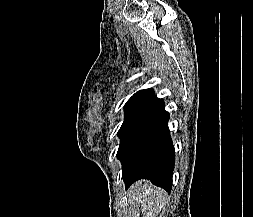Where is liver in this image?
I'll return each mask as SVG.
<instances>
[{
  "label": "liver",
  "instance_id": "obj_1",
  "mask_svg": "<svg viewBox=\"0 0 253 217\" xmlns=\"http://www.w3.org/2000/svg\"><path fill=\"white\" fill-rule=\"evenodd\" d=\"M166 192L151 185L148 181H139L131 186L128 192L129 202L137 204L142 217H156L166 198Z\"/></svg>",
  "mask_w": 253,
  "mask_h": 217
}]
</instances>
